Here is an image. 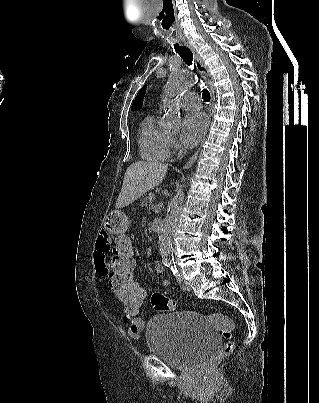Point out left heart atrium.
<instances>
[{"label": "left heart atrium", "mask_w": 319, "mask_h": 403, "mask_svg": "<svg viewBox=\"0 0 319 403\" xmlns=\"http://www.w3.org/2000/svg\"><path fill=\"white\" fill-rule=\"evenodd\" d=\"M206 116L200 112L188 113L182 121L180 141L187 148L195 147L207 129Z\"/></svg>", "instance_id": "1"}]
</instances>
